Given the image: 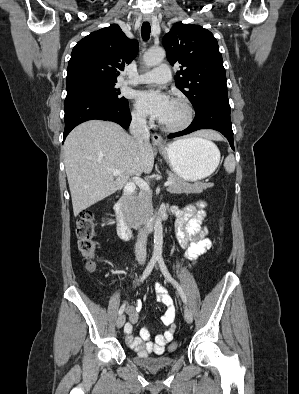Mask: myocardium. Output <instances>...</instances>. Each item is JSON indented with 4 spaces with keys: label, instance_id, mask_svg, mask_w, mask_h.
<instances>
[{
    "label": "myocardium",
    "instance_id": "1",
    "mask_svg": "<svg viewBox=\"0 0 299 394\" xmlns=\"http://www.w3.org/2000/svg\"><path fill=\"white\" fill-rule=\"evenodd\" d=\"M173 101L182 105V107L184 108L185 113H186L185 119L181 123L175 124V125H168V124H165L161 121L160 125L166 131H170V132L182 131V130L186 129L187 127H189L190 124L192 123L193 118H194V110H193V107L190 104V102L185 98L177 97V98H174Z\"/></svg>",
    "mask_w": 299,
    "mask_h": 394
}]
</instances>
